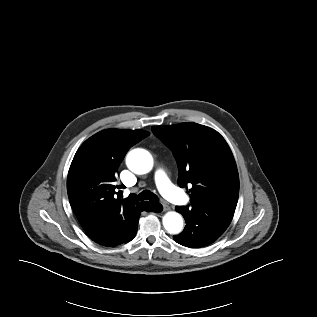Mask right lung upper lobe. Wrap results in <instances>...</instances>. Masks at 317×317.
I'll list each match as a JSON object with an SVG mask.
<instances>
[{"mask_svg":"<svg viewBox=\"0 0 317 317\" xmlns=\"http://www.w3.org/2000/svg\"><path fill=\"white\" fill-rule=\"evenodd\" d=\"M149 135L143 130H103L86 140L71 163L67 192L71 207L85 231L96 229L115 238L130 215L146 202L122 199L116 174L127 151Z\"/></svg>","mask_w":317,"mask_h":317,"instance_id":"obj_1","label":"right lung upper lobe"}]
</instances>
